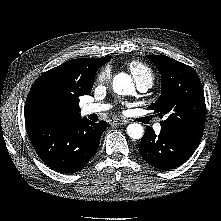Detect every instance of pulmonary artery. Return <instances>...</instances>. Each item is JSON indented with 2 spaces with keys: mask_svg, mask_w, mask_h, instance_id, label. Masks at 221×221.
I'll list each match as a JSON object with an SVG mask.
<instances>
[{
  "mask_svg": "<svg viewBox=\"0 0 221 221\" xmlns=\"http://www.w3.org/2000/svg\"><path fill=\"white\" fill-rule=\"evenodd\" d=\"M151 87V84L148 82H138L137 83V89L140 92H146ZM109 108V105L107 104H101V103H90L86 104L82 107V113L84 115L92 114V113H98L105 111ZM155 131L159 132L161 130L160 123L155 124L154 126Z\"/></svg>",
  "mask_w": 221,
  "mask_h": 221,
  "instance_id": "obj_1",
  "label": "pulmonary artery"
}]
</instances>
